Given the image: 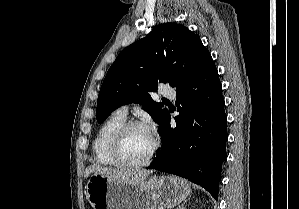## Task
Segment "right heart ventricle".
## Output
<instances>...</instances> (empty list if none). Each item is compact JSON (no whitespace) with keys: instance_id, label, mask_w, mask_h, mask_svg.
Listing matches in <instances>:
<instances>
[{"instance_id":"e07e8e85","label":"right heart ventricle","mask_w":299,"mask_h":209,"mask_svg":"<svg viewBox=\"0 0 299 209\" xmlns=\"http://www.w3.org/2000/svg\"><path fill=\"white\" fill-rule=\"evenodd\" d=\"M125 122L126 116L115 111L100 126L93 142L94 157L99 164L115 166L110 153L111 142L115 132Z\"/></svg>"}]
</instances>
